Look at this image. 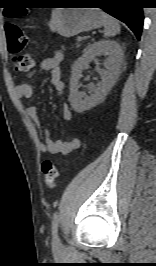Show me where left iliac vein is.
I'll return each mask as SVG.
<instances>
[{"mask_svg":"<svg viewBox=\"0 0 156 266\" xmlns=\"http://www.w3.org/2000/svg\"><path fill=\"white\" fill-rule=\"evenodd\" d=\"M54 244H59V238L57 236L54 238Z\"/></svg>","mask_w":156,"mask_h":266,"instance_id":"obj_1","label":"left iliac vein"}]
</instances>
